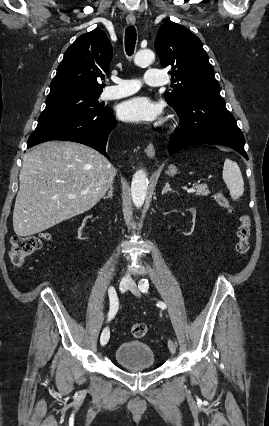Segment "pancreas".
I'll list each match as a JSON object with an SVG mask.
<instances>
[{
  "label": "pancreas",
  "instance_id": "1",
  "mask_svg": "<svg viewBox=\"0 0 269 426\" xmlns=\"http://www.w3.org/2000/svg\"><path fill=\"white\" fill-rule=\"evenodd\" d=\"M194 188L195 195L197 196H208L210 194V191L205 184H197Z\"/></svg>",
  "mask_w": 269,
  "mask_h": 426
}]
</instances>
